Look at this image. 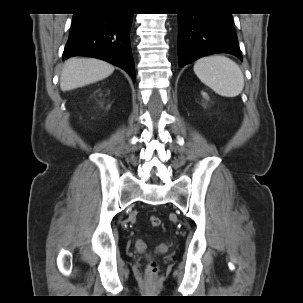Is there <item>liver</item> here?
I'll use <instances>...</instances> for the list:
<instances>
[{
    "label": "liver",
    "mask_w": 303,
    "mask_h": 303,
    "mask_svg": "<svg viewBox=\"0 0 303 303\" xmlns=\"http://www.w3.org/2000/svg\"><path fill=\"white\" fill-rule=\"evenodd\" d=\"M114 71V67L102 60L92 58H71L65 61L60 88L69 91L102 80Z\"/></svg>",
    "instance_id": "liver-1"
}]
</instances>
